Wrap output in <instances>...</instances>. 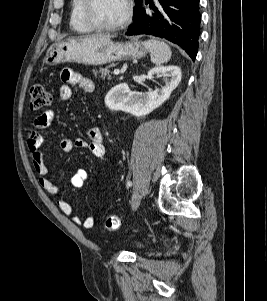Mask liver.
<instances>
[{
  "label": "liver",
  "mask_w": 267,
  "mask_h": 301,
  "mask_svg": "<svg viewBox=\"0 0 267 301\" xmlns=\"http://www.w3.org/2000/svg\"><path fill=\"white\" fill-rule=\"evenodd\" d=\"M93 37H97V38H110L109 35L96 34V35H92V36L83 37V38H80V39L93 38Z\"/></svg>",
  "instance_id": "1"
}]
</instances>
